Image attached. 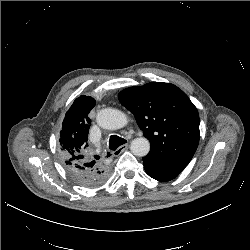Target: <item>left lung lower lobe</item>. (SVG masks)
Wrapping results in <instances>:
<instances>
[{
  "instance_id": "obj_1",
  "label": "left lung lower lobe",
  "mask_w": 250,
  "mask_h": 250,
  "mask_svg": "<svg viewBox=\"0 0 250 250\" xmlns=\"http://www.w3.org/2000/svg\"><path fill=\"white\" fill-rule=\"evenodd\" d=\"M146 173L158 181H170L177 177L186 165L169 164L157 160L149 155L143 157Z\"/></svg>"
}]
</instances>
